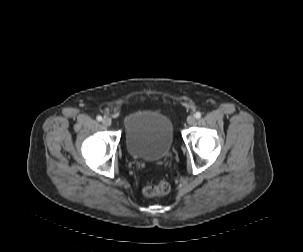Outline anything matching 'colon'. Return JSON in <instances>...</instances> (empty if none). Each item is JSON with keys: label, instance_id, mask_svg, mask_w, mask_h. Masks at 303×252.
Here are the masks:
<instances>
[{"label": "colon", "instance_id": "1", "mask_svg": "<svg viewBox=\"0 0 303 252\" xmlns=\"http://www.w3.org/2000/svg\"><path fill=\"white\" fill-rule=\"evenodd\" d=\"M170 191V185L167 181H160L154 185L145 188V194L151 197L164 196Z\"/></svg>", "mask_w": 303, "mask_h": 252}]
</instances>
